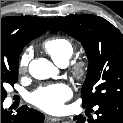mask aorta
Instances as JSON below:
<instances>
[{
  "label": "aorta",
  "mask_w": 123,
  "mask_h": 123,
  "mask_svg": "<svg viewBox=\"0 0 123 123\" xmlns=\"http://www.w3.org/2000/svg\"><path fill=\"white\" fill-rule=\"evenodd\" d=\"M57 72V68L45 58L34 59L29 64V73L39 80L55 77Z\"/></svg>",
  "instance_id": "762f6f07"
}]
</instances>
